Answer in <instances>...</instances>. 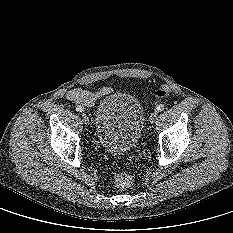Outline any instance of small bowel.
I'll use <instances>...</instances> for the list:
<instances>
[{
    "mask_svg": "<svg viewBox=\"0 0 233 233\" xmlns=\"http://www.w3.org/2000/svg\"><path fill=\"white\" fill-rule=\"evenodd\" d=\"M108 92L109 89L107 88H104L97 93H92L82 88H76L68 93V99L76 104L85 107H92L95 104L98 97L105 95Z\"/></svg>",
    "mask_w": 233,
    "mask_h": 233,
    "instance_id": "c3829d8e",
    "label": "small bowel"
}]
</instances>
